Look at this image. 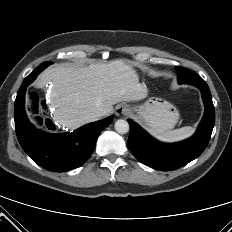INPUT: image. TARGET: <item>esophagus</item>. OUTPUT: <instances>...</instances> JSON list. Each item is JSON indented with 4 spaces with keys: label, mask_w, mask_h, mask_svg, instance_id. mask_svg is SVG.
Listing matches in <instances>:
<instances>
[{
    "label": "esophagus",
    "mask_w": 232,
    "mask_h": 232,
    "mask_svg": "<svg viewBox=\"0 0 232 232\" xmlns=\"http://www.w3.org/2000/svg\"><path fill=\"white\" fill-rule=\"evenodd\" d=\"M131 109L126 105H120L116 108V115H128L130 114Z\"/></svg>",
    "instance_id": "esophagus-1"
}]
</instances>
